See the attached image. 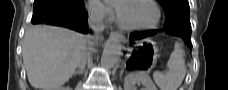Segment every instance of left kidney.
<instances>
[{"label": "left kidney", "mask_w": 228, "mask_h": 90, "mask_svg": "<svg viewBox=\"0 0 228 90\" xmlns=\"http://www.w3.org/2000/svg\"><path fill=\"white\" fill-rule=\"evenodd\" d=\"M142 83L145 90H157L152 80L145 74L131 73L125 77L124 90H135L136 83Z\"/></svg>", "instance_id": "1"}]
</instances>
